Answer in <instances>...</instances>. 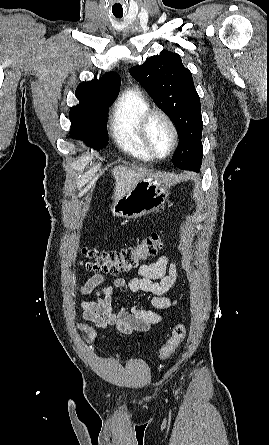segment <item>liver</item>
<instances>
[{"mask_svg":"<svg viewBox=\"0 0 269 445\" xmlns=\"http://www.w3.org/2000/svg\"><path fill=\"white\" fill-rule=\"evenodd\" d=\"M147 174L148 173L145 168H127L124 166H116L112 170V175L116 180L114 195L112 198L118 199L122 195L130 192Z\"/></svg>","mask_w":269,"mask_h":445,"instance_id":"obj_1","label":"liver"}]
</instances>
